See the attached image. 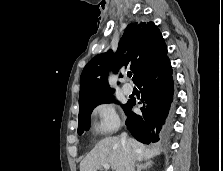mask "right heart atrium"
Instances as JSON below:
<instances>
[{
  "mask_svg": "<svg viewBox=\"0 0 223 171\" xmlns=\"http://www.w3.org/2000/svg\"><path fill=\"white\" fill-rule=\"evenodd\" d=\"M93 129L97 134L107 135L115 132L121 125L116 107L110 102L96 105L92 111Z\"/></svg>",
  "mask_w": 223,
  "mask_h": 171,
  "instance_id": "right-heart-atrium-1",
  "label": "right heart atrium"
}]
</instances>
